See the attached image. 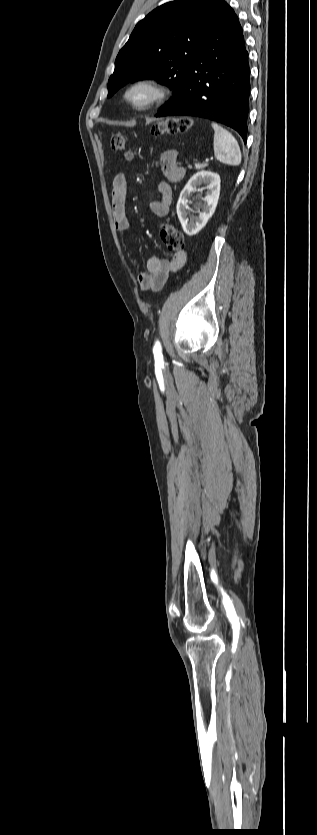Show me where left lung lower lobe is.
I'll return each instance as SVG.
<instances>
[{
	"mask_svg": "<svg viewBox=\"0 0 317 835\" xmlns=\"http://www.w3.org/2000/svg\"><path fill=\"white\" fill-rule=\"evenodd\" d=\"M250 68L242 28L229 6L190 66L180 96L156 117L189 115L222 123L247 140Z\"/></svg>",
	"mask_w": 317,
	"mask_h": 835,
	"instance_id": "0a47b994",
	"label": "left lung lower lobe"
}]
</instances>
